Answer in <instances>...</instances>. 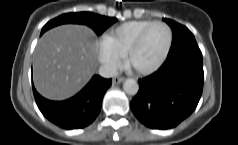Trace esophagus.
<instances>
[{
	"mask_svg": "<svg viewBox=\"0 0 238 145\" xmlns=\"http://www.w3.org/2000/svg\"><path fill=\"white\" fill-rule=\"evenodd\" d=\"M123 81H124L123 77H115V78H113L112 83L117 85V84L122 83Z\"/></svg>",
	"mask_w": 238,
	"mask_h": 145,
	"instance_id": "esophagus-1",
	"label": "esophagus"
}]
</instances>
